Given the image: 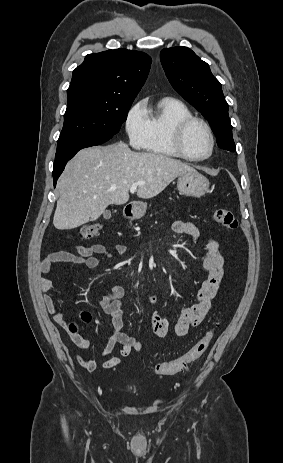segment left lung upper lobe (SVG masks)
<instances>
[{
    "label": "left lung upper lobe",
    "instance_id": "5c2ea615",
    "mask_svg": "<svg viewBox=\"0 0 283 463\" xmlns=\"http://www.w3.org/2000/svg\"><path fill=\"white\" fill-rule=\"evenodd\" d=\"M160 60L173 88L209 121L218 146L235 151L228 104L209 65L187 47L163 49Z\"/></svg>",
    "mask_w": 283,
    "mask_h": 463
}]
</instances>
